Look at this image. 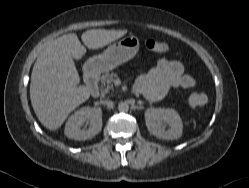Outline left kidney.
I'll return each instance as SVG.
<instances>
[{"mask_svg":"<svg viewBox=\"0 0 249 188\" xmlns=\"http://www.w3.org/2000/svg\"><path fill=\"white\" fill-rule=\"evenodd\" d=\"M145 122L148 131L157 138L174 140L182 136V120L174 109L171 108H149L145 111ZM162 122L169 125L165 130Z\"/></svg>","mask_w":249,"mask_h":188,"instance_id":"1","label":"left kidney"}]
</instances>
